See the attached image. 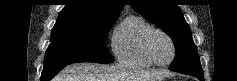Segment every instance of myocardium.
Here are the masks:
<instances>
[{
    "label": "myocardium",
    "mask_w": 237,
    "mask_h": 81,
    "mask_svg": "<svg viewBox=\"0 0 237 81\" xmlns=\"http://www.w3.org/2000/svg\"><path fill=\"white\" fill-rule=\"evenodd\" d=\"M154 34L163 35L164 37H166L169 40V42L171 44L172 56H171L170 60L165 62V63L157 62L154 59V56L152 54V51H151V38L153 37ZM143 48H144V52H145V55L147 56V58L152 62L153 65H156L158 67H166V66L170 65L173 62V60L175 59V56H176V46H175L174 40L171 38V36L168 33H166L165 31H163L161 29H158V28H152L147 32V34L144 37Z\"/></svg>",
    "instance_id": "obj_1"
}]
</instances>
